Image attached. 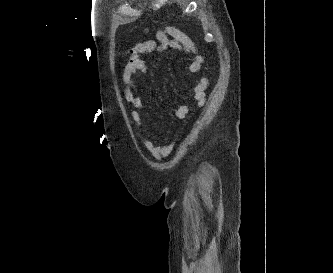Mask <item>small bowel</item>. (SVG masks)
<instances>
[{"label":"small bowel","instance_id":"c3829d8e","mask_svg":"<svg viewBox=\"0 0 333 273\" xmlns=\"http://www.w3.org/2000/svg\"><path fill=\"white\" fill-rule=\"evenodd\" d=\"M169 48L178 49L185 54L191 55V62L189 64V71L192 73H199L203 63V57L198 53L193 40L178 28L167 26L164 29L158 30L156 33V40H146L132 46L128 50V61L124 66L121 81L124 87V99L131 104V118L133 120L135 130L140 136L146 150L156 160L166 155L167 147L156 144L145 132L142 120V101L134 94V87L136 84L134 75L137 73L147 74L148 66L142 59V55L151 52H164ZM208 81L205 77H201L199 81L194 84L189 92L194 99L196 105L202 106L204 104L205 90ZM187 107L181 106L177 109V116L183 118L186 115Z\"/></svg>","mask_w":333,"mask_h":273}]
</instances>
